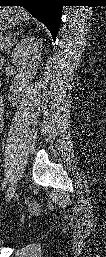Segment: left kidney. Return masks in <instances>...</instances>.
<instances>
[{"instance_id":"left-kidney-1","label":"left kidney","mask_w":106,"mask_h":257,"mask_svg":"<svg viewBox=\"0 0 106 257\" xmlns=\"http://www.w3.org/2000/svg\"><path fill=\"white\" fill-rule=\"evenodd\" d=\"M42 42L35 37L22 39L12 52V62L20 69L19 76L32 78L41 60Z\"/></svg>"}]
</instances>
